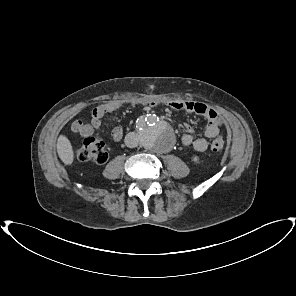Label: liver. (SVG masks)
<instances>
[{
	"label": "liver",
	"mask_w": 296,
	"mask_h": 296,
	"mask_svg": "<svg viewBox=\"0 0 296 296\" xmlns=\"http://www.w3.org/2000/svg\"><path fill=\"white\" fill-rule=\"evenodd\" d=\"M57 152L65 165H71L74 160L73 148L67 137L60 135L57 140Z\"/></svg>",
	"instance_id": "liver-1"
}]
</instances>
